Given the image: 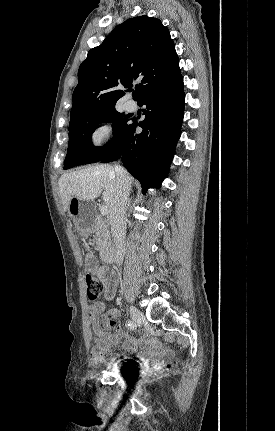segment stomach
<instances>
[{
	"mask_svg": "<svg viewBox=\"0 0 275 431\" xmlns=\"http://www.w3.org/2000/svg\"><path fill=\"white\" fill-rule=\"evenodd\" d=\"M68 214L73 219L80 235L87 236L93 232L95 221L93 206L89 201L72 197L68 207Z\"/></svg>",
	"mask_w": 275,
	"mask_h": 431,
	"instance_id": "0dacf381",
	"label": "stomach"
}]
</instances>
